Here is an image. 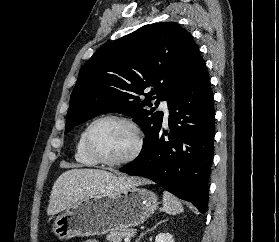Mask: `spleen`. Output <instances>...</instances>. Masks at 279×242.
I'll use <instances>...</instances> for the list:
<instances>
[{
    "mask_svg": "<svg viewBox=\"0 0 279 242\" xmlns=\"http://www.w3.org/2000/svg\"><path fill=\"white\" fill-rule=\"evenodd\" d=\"M162 210L170 215L183 212L181 202L168 191L163 192V208Z\"/></svg>",
    "mask_w": 279,
    "mask_h": 242,
    "instance_id": "spleen-1",
    "label": "spleen"
}]
</instances>
